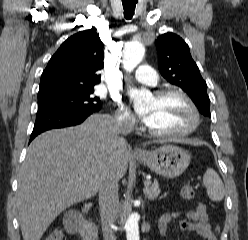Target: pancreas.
Segmentation results:
<instances>
[{"label":"pancreas","instance_id":"cf45deb5","mask_svg":"<svg viewBox=\"0 0 248 240\" xmlns=\"http://www.w3.org/2000/svg\"><path fill=\"white\" fill-rule=\"evenodd\" d=\"M144 193L150 200H154L155 198H157L160 194L158 182L154 181L153 183H151L150 181H148L147 183H145Z\"/></svg>","mask_w":248,"mask_h":240}]
</instances>
